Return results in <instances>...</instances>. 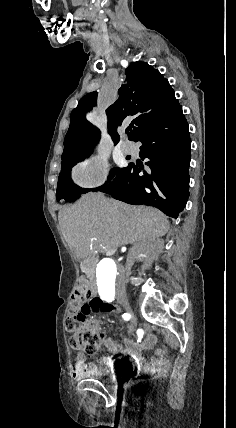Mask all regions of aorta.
I'll list each match as a JSON object with an SVG mask.
<instances>
[{
	"mask_svg": "<svg viewBox=\"0 0 236 428\" xmlns=\"http://www.w3.org/2000/svg\"><path fill=\"white\" fill-rule=\"evenodd\" d=\"M117 277V263L111 258L100 260L96 268V281L99 294H112L115 290Z\"/></svg>",
	"mask_w": 236,
	"mask_h": 428,
	"instance_id": "1",
	"label": "aorta"
}]
</instances>
